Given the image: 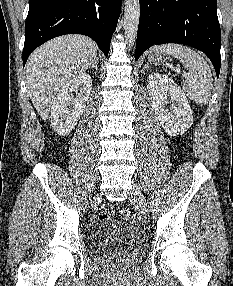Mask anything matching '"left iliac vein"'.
Instances as JSON below:
<instances>
[{
  "label": "left iliac vein",
  "instance_id": "obj_1",
  "mask_svg": "<svg viewBox=\"0 0 233 286\" xmlns=\"http://www.w3.org/2000/svg\"><path fill=\"white\" fill-rule=\"evenodd\" d=\"M133 195L137 201V204H138L141 212L143 214H145L147 212V203H146V200H145L139 186L136 183L133 184Z\"/></svg>",
  "mask_w": 233,
  "mask_h": 286
}]
</instances>
